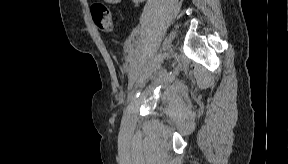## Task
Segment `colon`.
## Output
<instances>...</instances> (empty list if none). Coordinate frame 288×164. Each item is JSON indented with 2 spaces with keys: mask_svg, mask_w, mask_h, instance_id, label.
<instances>
[{
  "mask_svg": "<svg viewBox=\"0 0 288 164\" xmlns=\"http://www.w3.org/2000/svg\"><path fill=\"white\" fill-rule=\"evenodd\" d=\"M93 20L97 27L105 32L113 29V19L110 8L103 3L95 4L92 7Z\"/></svg>",
  "mask_w": 288,
  "mask_h": 164,
  "instance_id": "5ec220e1",
  "label": "colon"
}]
</instances>
